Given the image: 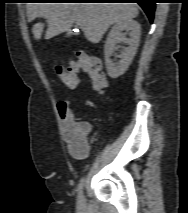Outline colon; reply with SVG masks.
Returning <instances> with one entry per match:
<instances>
[{
  "mask_svg": "<svg viewBox=\"0 0 188 213\" xmlns=\"http://www.w3.org/2000/svg\"><path fill=\"white\" fill-rule=\"evenodd\" d=\"M55 72L70 88H75L78 85L80 73L89 78L92 89L97 93H103L107 87L106 76L100 71L98 61L85 53H79L76 59L71 60L67 65L56 64Z\"/></svg>",
  "mask_w": 188,
  "mask_h": 213,
  "instance_id": "obj_1",
  "label": "colon"
}]
</instances>
